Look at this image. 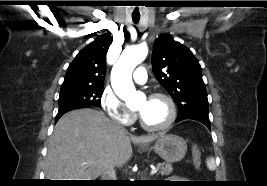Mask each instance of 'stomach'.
Wrapping results in <instances>:
<instances>
[{
  "mask_svg": "<svg viewBox=\"0 0 267 186\" xmlns=\"http://www.w3.org/2000/svg\"><path fill=\"white\" fill-rule=\"evenodd\" d=\"M143 149H153L166 162H178L182 160L187 152L186 141L173 134H162L155 141L154 145L143 147Z\"/></svg>",
  "mask_w": 267,
  "mask_h": 186,
  "instance_id": "obj_1",
  "label": "stomach"
}]
</instances>
